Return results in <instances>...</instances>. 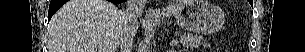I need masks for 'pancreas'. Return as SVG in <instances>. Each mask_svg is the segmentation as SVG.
<instances>
[{"label": "pancreas", "instance_id": "1", "mask_svg": "<svg viewBox=\"0 0 305 52\" xmlns=\"http://www.w3.org/2000/svg\"><path fill=\"white\" fill-rule=\"evenodd\" d=\"M179 43L183 47L197 48L199 45H205V39L199 35L183 34L179 38Z\"/></svg>", "mask_w": 305, "mask_h": 52}]
</instances>
